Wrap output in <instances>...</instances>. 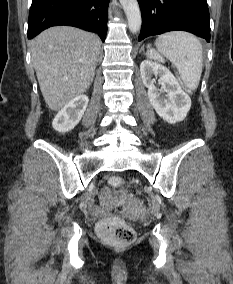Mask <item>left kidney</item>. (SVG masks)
<instances>
[{"mask_svg": "<svg viewBox=\"0 0 233 284\" xmlns=\"http://www.w3.org/2000/svg\"><path fill=\"white\" fill-rule=\"evenodd\" d=\"M140 72L143 84L148 88L150 103L157 114L171 124L183 121L190 110L191 99L169 69L157 62L144 60ZM154 75L159 77L161 90L154 85ZM161 91L167 95H161Z\"/></svg>", "mask_w": 233, "mask_h": 284, "instance_id": "1", "label": "left kidney"}]
</instances>
